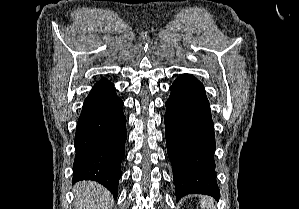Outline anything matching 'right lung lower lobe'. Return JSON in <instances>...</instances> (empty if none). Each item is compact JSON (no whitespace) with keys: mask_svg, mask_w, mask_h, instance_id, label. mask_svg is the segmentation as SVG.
Returning a JSON list of instances; mask_svg holds the SVG:
<instances>
[{"mask_svg":"<svg viewBox=\"0 0 299 209\" xmlns=\"http://www.w3.org/2000/svg\"><path fill=\"white\" fill-rule=\"evenodd\" d=\"M123 102L113 84L101 79L86 97L75 133L73 182L96 181L116 198L127 138Z\"/></svg>","mask_w":299,"mask_h":209,"instance_id":"98d812e1","label":"right lung lower lobe"}]
</instances>
